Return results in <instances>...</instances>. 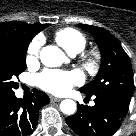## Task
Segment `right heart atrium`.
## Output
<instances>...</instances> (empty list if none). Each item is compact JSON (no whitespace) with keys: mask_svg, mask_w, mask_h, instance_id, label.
I'll return each mask as SVG.
<instances>
[{"mask_svg":"<svg viewBox=\"0 0 136 136\" xmlns=\"http://www.w3.org/2000/svg\"><path fill=\"white\" fill-rule=\"evenodd\" d=\"M42 40L41 38H35L29 45L27 51L26 61L28 64H33L37 61L39 50L41 46Z\"/></svg>","mask_w":136,"mask_h":136,"instance_id":"1","label":"right heart atrium"}]
</instances>
